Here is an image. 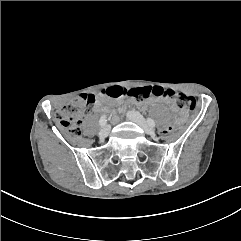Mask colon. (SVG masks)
<instances>
[{
    "mask_svg": "<svg viewBox=\"0 0 241 241\" xmlns=\"http://www.w3.org/2000/svg\"><path fill=\"white\" fill-rule=\"evenodd\" d=\"M100 97L121 98L132 97L135 99H147L151 96L166 98L174 101L181 109L193 112L196 109V101L192 96L177 93L171 89H165L160 86H141V87H121L113 86L99 95ZM97 101V96L92 94H83L74 98L69 104L60 108L55 118L59 125L74 136L80 135V117L83 112ZM178 129L176 122H171L166 127L156 130V135L166 137L173 135Z\"/></svg>",
    "mask_w": 241,
    "mask_h": 241,
    "instance_id": "colon-1",
    "label": "colon"
}]
</instances>
